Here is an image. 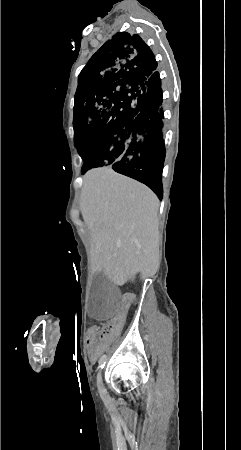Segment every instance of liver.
<instances>
[{"label": "liver", "instance_id": "6515ba94", "mask_svg": "<svg viewBox=\"0 0 241 450\" xmlns=\"http://www.w3.org/2000/svg\"><path fill=\"white\" fill-rule=\"evenodd\" d=\"M83 220L91 230L92 272L123 286L128 278L155 276L159 264V200L147 186L110 166L83 176Z\"/></svg>", "mask_w": 241, "mask_h": 450}]
</instances>
